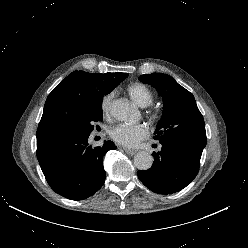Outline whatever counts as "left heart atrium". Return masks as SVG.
<instances>
[{"instance_id": "obj_1", "label": "left heart atrium", "mask_w": 248, "mask_h": 248, "mask_svg": "<svg viewBox=\"0 0 248 248\" xmlns=\"http://www.w3.org/2000/svg\"><path fill=\"white\" fill-rule=\"evenodd\" d=\"M148 135L149 130L143 124H119L111 130L112 139L126 147H136Z\"/></svg>"}]
</instances>
